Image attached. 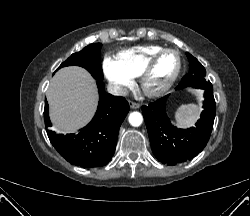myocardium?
I'll return each instance as SVG.
<instances>
[{"label": "myocardium", "mask_w": 250, "mask_h": 216, "mask_svg": "<svg viewBox=\"0 0 250 216\" xmlns=\"http://www.w3.org/2000/svg\"><path fill=\"white\" fill-rule=\"evenodd\" d=\"M165 53H174L177 56L178 65H177L176 71L174 72V74L172 75L170 80L162 88H160L158 90H154V91L148 90L146 88L147 77L151 73L156 61L159 59L160 56H162ZM181 71H182V56H181L180 52L176 49H173V48H164V49L156 52L155 54H153L150 57V59L147 61L145 66L143 67V69L139 75L140 88H141L142 92L147 97H150V98L161 97L164 94H166L171 89V87L175 84V82L177 81V79L180 76Z\"/></svg>", "instance_id": "obj_1"}]
</instances>
